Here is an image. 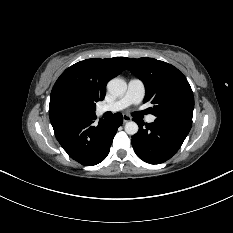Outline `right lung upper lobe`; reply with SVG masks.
I'll list each match as a JSON object with an SVG mask.
<instances>
[{
    "mask_svg": "<svg viewBox=\"0 0 233 233\" xmlns=\"http://www.w3.org/2000/svg\"><path fill=\"white\" fill-rule=\"evenodd\" d=\"M125 70L122 57L86 59L67 68L53 86L50 105V121L64 117L58 109L59 102L68 96L80 99L89 109L103 100L108 80Z\"/></svg>",
    "mask_w": 233,
    "mask_h": 233,
    "instance_id": "obj_1",
    "label": "right lung upper lobe"
}]
</instances>
